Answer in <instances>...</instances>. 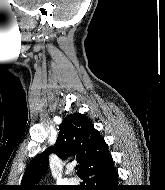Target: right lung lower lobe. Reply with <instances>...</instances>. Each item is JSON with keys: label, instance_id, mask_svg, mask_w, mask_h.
<instances>
[{"label": "right lung lower lobe", "instance_id": "right-lung-lower-lobe-1", "mask_svg": "<svg viewBox=\"0 0 165 190\" xmlns=\"http://www.w3.org/2000/svg\"><path fill=\"white\" fill-rule=\"evenodd\" d=\"M80 177L86 183L85 190H122L113 160L107 155L96 166L83 172Z\"/></svg>", "mask_w": 165, "mask_h": 190}]
</instances>
